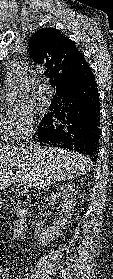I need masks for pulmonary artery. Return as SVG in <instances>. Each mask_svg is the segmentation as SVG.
Here are the masks:
<instances>
[{"label": "pulmonary artery", "mask_w": 113, "mask_h": 279, "mask_svg": "<svg viewBox=\"0 0 113 279\" xmlns=\"http://www.w3.org/2000/svg\"><path fill=\"white\" fill-rule=\"evenodd\" d=\"M38 93L42 96V99L46 102L49 103L52 99V94L49 89V86L47 84L42 85L38 89Z\"/></svg>", "instance_id": "e3ab8cb5"}]
</instances>
